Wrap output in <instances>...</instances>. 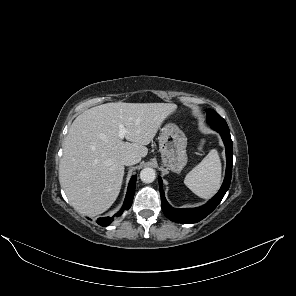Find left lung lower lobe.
I'll list each match as a JSON object with an SVG mask.
<instances>
[{
    "label": "left lung lower lobe",
    "mask_w": 296,
    "mask_h": 296,
    "mask_svg": "<svg viewBox=\"0 0 296 296\" xmlns=\"http://www.w3.org/2000/svg\"><path fill=\"white\" fill-rule=\"evenodd\" d=\"M214 130L220 133L225 148H226V158H227V167H226V176L221 186L219 192L205 205L192 208V209H175L171 207L166 201L165 194L163 191V182L161 177L159 179V187L161 193V205L162 210L167 218H169L173 222L177 223H196L202 219H204L207 215H209L216 206L221 202L225 193L229 189L231 176H232V140L229 132V128L227 125H211Z\"/></svg>",
    "instance_id": "1"
}]
</instances>
